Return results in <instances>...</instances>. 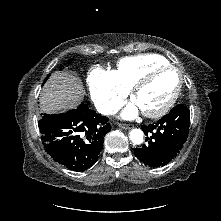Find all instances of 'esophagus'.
<instances>
[{"label": "esophagus", "mask_w": 221, "mask_h": 221, "mask_svg": "<svg viewBox=\"0 0 221 221\" xmlns=\"http://www.w3.org/2000/svg\"><path fill=\"white\" fill-rule=\"evenodd\" d=\"M118 126L122 129H130L131 126L129 124L119 123Z\"/></svg>", "instance_id": "1"}]
</instances>
